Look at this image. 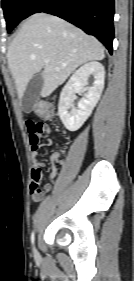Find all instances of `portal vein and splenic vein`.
I'll list each match as a JSON object with an SVG mask.
<instances>
[{"label":"portal vein and splenic vein","instance_id":"obj_1","mask_svg":"<svg viewBox=\"0 0 134 281\" xmlns=\"http://www.w3.org/2000/svg\"><path fill=\"white\" fill-rule=\"evenodd\" d=\"M44 62H45V63H49V59H45Z\"/></svg>","mask_w":134,"mask_h":281}]
</instances>
